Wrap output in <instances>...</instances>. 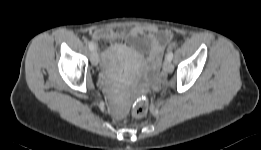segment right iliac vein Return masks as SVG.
I'll list each match as a JSON object with an SVG mask.
<instances>
[{
  "label": "right iliac vein",
  "mask_w": 261,
  "mask_h": 150,
  "mask_svg": "<svg viewBox=\"0 0 261 150\" xmlns=\"http://www.w3.org/2000/svg\"><path fill=\"white\" fill-rule=\"evenodd\" d=\"M99 62L98 53L96 50H93L91 53V63L96 66Z\"/></svg>",
  "instance_id": "right-iliac-vein-1"
}]
</instances>
